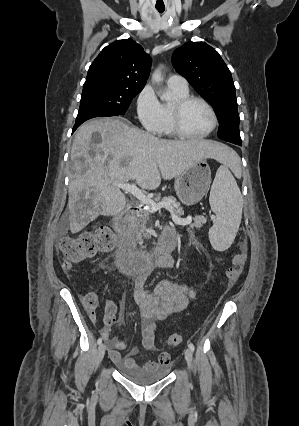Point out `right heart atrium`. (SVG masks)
I'll list each match as a JSON object with an SVG mask.
<instances>
[{"label":"right heart atrium","mask_w":299,"mask_h":426,"mask_svg":"<svg viewBox=\"0 0 299 426\" xmlns=\"http://www.w3.org/2000/svg\"><path fill=\"white\" fill-rule=\"evenodd\" d=\"M137 117L144 129L152 134L162 131V104L151 85H145L136 99Z\"/></svg>","instance_id":"1"}]
</instances>
